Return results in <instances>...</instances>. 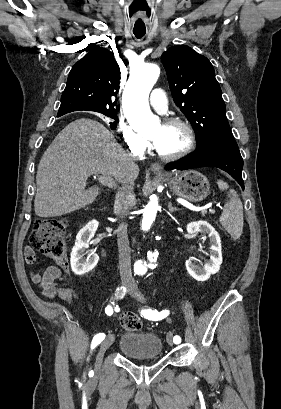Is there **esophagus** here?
I'll return each mask as SVG.
<instances>
[{
  "instance_id": "1",
  "label": "esophagus",
  "mask_w": 281,
  "mask_h": 409,
  "mask_svg": "<svg viewBox=\"0 0 281 409\" xmlns=\"http://www.w3.org/2000/svg\"><path fill=\"white\" fill-rule=\"evenodd\" d=\"M150 168H151L152 172H154L155 174H161L162 173V167L157 162H154L153 164H151Z\"/></svg>"
}]
</instances>
